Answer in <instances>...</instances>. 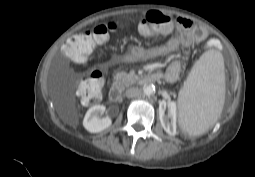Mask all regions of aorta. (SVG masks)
<instances>
[{"instance_id":"obj_1","label":"aorta","mask_w":255,"mask_h":177,"mask_svg":"<svg viewBox=\"0 0 255 177\" xmlns=\"http://www.w3.org/2000/svg\"><path fill=\"white\" fill-rule=\"evenodd\" d=\"M143 92L146 96H150L155 93V86L153 84L145 85L143 87Z\"/></svg>"}]
</instances>
